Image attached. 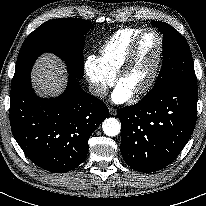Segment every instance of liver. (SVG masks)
Wrapping results in <instances>:
<instances>
[{"label": "liver", "mask_w": 206, "mask_h": 206, "mask_svg": "<svg viewBox=\"0 0 206 206\" xmlns=\"http://www.w3.org/2000/svg\"><path fill=\"white\" fill-rule=\"evenodd\" d=\"M31 79L39 95L54 97L65 89L67 81L65 66L55 55L44 54L36 61Z\"/></svg>", "instance_id": "obj_1"}]
</instances>
